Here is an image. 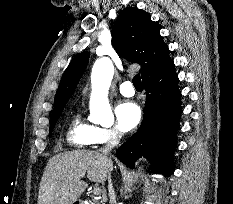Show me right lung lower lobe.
I'll list each match as a JSON object with an SVG mask.
<instances>
[{"label": "right lung lower lobe", "mask_w": 233, "mask_h": 204, "mask_svg": "<svg viewBox=\"0 0 233 204\" xmlns=\"http://www.w3.org/2000/svg\"><path fill=\"white\" fill-rule=\"evenodd\" d=\"M178 81L174 63L143 79L147 94L143 121L116 153V157L128 167L133 168L137 159L144 156L152 171L165 175L174 172L171 158L182 112Z\"/></svg>", "instance_id": "1"}]
</instances>
